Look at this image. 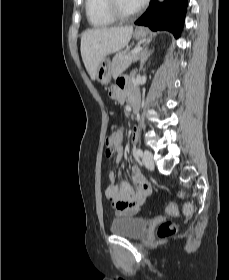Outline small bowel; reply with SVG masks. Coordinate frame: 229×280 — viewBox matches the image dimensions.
<instances>
[{
    "mask_svg": "<svg viewBox=\"0 0 229 280\" xmlns=\"http://www.w3.org/2000/svg\"><path fill=\"white\" fill-rule=\"evenodd\" d=\"M133 93L139 92L136 86L131 82V76L124 75L116 80V83L108 89V95L111 99L124 103ZM137 137V130L133 131V140ZM116 163H122L124 160L123 148L118 146L114 152ZM130 178L136 187L130 186L126 182L117 185L115 182V174L111 170L108 173V185L106 188L107 198L116 214L119 217L131 216L139 211L144 203L146 196L150 193V185L143 177L138 166L134 165L130 169ZM130 199L132 202L127 206L120 204L123 200Z\"/></svg>",
    "mask_w": 229,
    "mask_h": 280,
    "instance_id": "obj_1",
    "label": "small bowel"
}]
</instances>
